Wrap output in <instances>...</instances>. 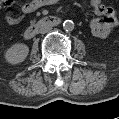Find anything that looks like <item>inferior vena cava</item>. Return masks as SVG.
I'll list each match as a JSON object with an SVG mask.
<instances>
[{
	"label": "inferior vena cava",
	"mask_w": 119,
	"mask_h": 119,
	"mask_svg": "<svg viewBox=\"0 0 119 119\" xmlns=\"http://www.w3.org/2000/svg\"><path fill=\"white\" fill-rule=\"evenodd\" d=\"M52 27L50 25H44L39 29V32L44 34L51 31Z\"/></svg>",
	"instance_id": "inferior-vena-cava-1"
}]
</instances>
